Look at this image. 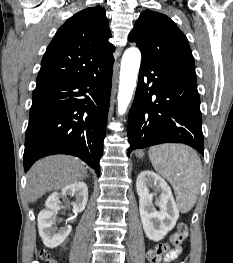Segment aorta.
Masks as SVG:
<instances>
[{"instance_id":"1","label":"aorta","mask_w":233,"mask_h":263,"mask_svg":"<svg viewBox=\"0 0 233 263\" xmlns=\"http://www.w3.org/2000/svg\"><path fill=\"white\" fill-rule=\"evenodd\" d=\"M141 62L139 49L132 47L127 49L122 57L120 70V83L118 90V112L124 114L136 87L137 75Z\"/></svg>"}]
</instances>
